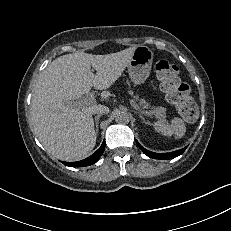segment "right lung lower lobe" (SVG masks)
I'll return each instance as SVG.
<instances>
[{"label":"right lung lower lobe","instance_id":"right-lung-lower-lobe-1","mask_svg":"<svg viewBox=\"0 0 231 231\" xmlns=\"http://www.w3.org/2000/svg\"><path fill=\"white\" fill-rule=\"evenodd\" d=\"M104 149H105V141L102 143L101 147L88 158L77 162H63V164L70 167H84V166L92 165L98 161V159L103 154Z\"/></svg>","mask_w":231,"mask_h":231}]
</instances>
